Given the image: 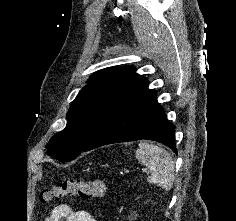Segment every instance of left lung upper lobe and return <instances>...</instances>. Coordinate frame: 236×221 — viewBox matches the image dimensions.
I'll return each mask as SVG.
<instances>
[{
    "label": "left lung upper lobe",
    "instance_id": "left-lung-upper-lobe-1",
    "mask_svg": "<svg viewBox=\"0 0 236 221\" xmlns=\"http://www.w3.org/2000/svg\"><path fill=\"white\" fill-rule=\"evenodd\" d=\"M146 81L130 66L95 72L71 104L65 129L46 145L47 153L60 161L73 160L88 146L110 113Z\"/></svg>",
    "mask_w": 236,
    "mask_h": 221
}]
</instances>
